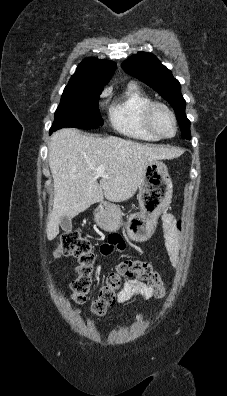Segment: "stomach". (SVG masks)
I'll list each match as a JSON object with an SVG mask.
<instances>
[{
    "label": "stomach",
    "instance_id": "stomach-1",
    "mask_svg": "<svg viewBox=\"0 0 227 396\" xmlns=\"http://www.w3.org/2000/svg\"><path fill=\"white\" fill-rule=\"evenodd\" d=\"M173 185L167 166L153 160L143 167L139 184L138 202L140 212L133 213L126 222L128 237L136 242H144L153 235L159 215L170 204ZM97 225L107 231H117L122 225L120 207L101 202L95 209Z\"/></svg>",
    "mask_w": 227,
    "mask_h": 396
}]
</instances>
